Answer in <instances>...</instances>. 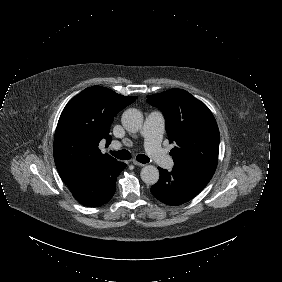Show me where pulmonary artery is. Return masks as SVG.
Segmentation results:
<instances>
[{
    "instance_id": "e3ab8cb5",
    "label": "pulmonary artery",
    "mask_w": 282,
    "mask_h": 282,
    "mask_svg": "<svg viewBox=\"0 0 282 282\" xmlns=\"http://www.w3.org/2000/svg\"><path fill=\"white\" fill-rule=\"evenodd\" d=\"M163 131V116L159 112H152L144 121L141 136L144 138L145 151L148 157L155 161L159 168L166 169L171 165L172 158L162 147L160 134H162ZM121 146V143L114 142L111 148L118 149Z\"/></svg>"
}]
</instances>
